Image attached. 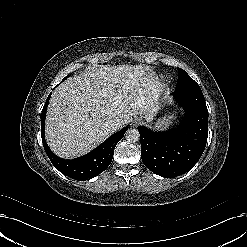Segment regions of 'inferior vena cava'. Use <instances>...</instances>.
<instances>
[{
  "label": "inferior vena cava",
  "instance_id": "obj_1",
  "mask_svg": "<svg viewBox=\"0 0 247 247\" xmlns=\"http://www.w3.org/2000/svg\"><path fill=\"white\" fill-rule=\"evenodd\" d=\"M105 127L110 131H116L120 127L118 120H110L106 122Z\"/></svg>",
  "mask_w": 247,
  "mask_h": 247
}]
</instances>
